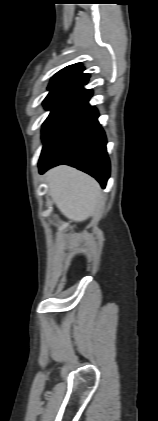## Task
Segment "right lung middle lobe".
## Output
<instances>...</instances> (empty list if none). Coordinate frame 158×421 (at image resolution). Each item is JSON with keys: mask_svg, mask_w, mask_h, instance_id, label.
Wrapping results in <instances>:
<instances>
[{"mask_svg": "<svg viewBox=\"0 0 158 421\" xmlns=\"http://www.w3.org/2000/svg\"><path fill=\"white\" fill-rule=\"evenodd\" d=\"M50 92L43 101L44 107L51 110L50 115L45 120L42 129V139L45 140L50 130L54 126L63 107L80 90V87L73 85H64L49 88Z\"/></svg>", "mask_w": 158, "mask_h": 421, "instance_id": "right-lung-middle-lobe-1", "label": "right lung middle lobe"}]
</instances>
